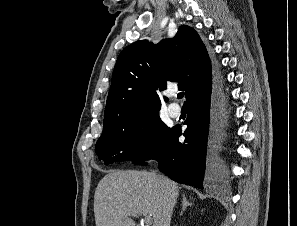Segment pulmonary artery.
<instances>
[{"mask_svg":"<svg viewBox=\"0 0 297 226\" xmlns=\"http://www.w3.org/2000/svg\"><path fill=\"white\" fill-rule=\"evenodd\" d=\"M170 95H173L172 93ZM168 112L172 117H178L181 113V107L177 103H171L168 106Z\"/></svg>","mask_w":297,"mask_h":226,"instance_id":"1","label":"pulmonary artery"}]
</instances>
